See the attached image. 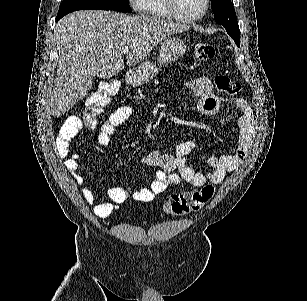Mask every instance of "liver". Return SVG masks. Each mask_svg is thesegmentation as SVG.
I'll list each match as a JSON object with an SVG mask.
<instances>
[{"mask_svg":"<svg viewBox=\"0 0 307 301\" xmlns=\"http://www.w3.org/2000/svg\"><path fill=\"white\" fill-rule=\"evenodd\" d=\"M171 18L123 14L111 10H76L55 26L59 54L51 96V114L61 116L89 92L93 76L110 78L125 68L122 46H129L127 66H134L163 38L189 30Z\"/></svg>","mask_w":307,"mask_h":301,"instance_id":"obj_1","label":"liver"}]
</instances>
